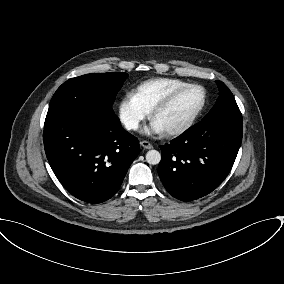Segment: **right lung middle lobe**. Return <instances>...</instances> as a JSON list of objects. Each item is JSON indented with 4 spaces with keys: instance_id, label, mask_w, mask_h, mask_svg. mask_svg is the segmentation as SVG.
<instances>
[{
    "instance_id": "dd1d6c3e",
    "label": "right lung middle lobe",
    "mask_w": 284,
    "mask_h": 284,
    "mask_svg": "<svg viewBox=\"0 0 284 284\" xmlns=\"http://www.w3.org/2000/svg\"><path fill=\"white\" fill-rule=\"evenodd\" d=\"M127 76L126 73H100L67 80L51 99L44 128L73 114L112 111L115 96Z\"/></svg>"
}]
</instances>
